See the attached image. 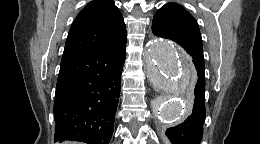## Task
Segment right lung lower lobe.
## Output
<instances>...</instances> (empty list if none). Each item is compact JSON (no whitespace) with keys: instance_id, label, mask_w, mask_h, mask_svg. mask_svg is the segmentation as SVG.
<instances>
[{"instance_id":"obj_1","label":"right lung lower lobe","mask_w":260,"mask_h":144,"mask_svg":"<svg viewBox=\"0 0 260 144\" xmlns=\"http://www.w3.org/2000/svg\"><path fill=\"white\" fill-rule=\"evenodd\" d=\"M126 41L62 58L55 93L54 141L109 144Z\"/></svg>"}]
</instances>
